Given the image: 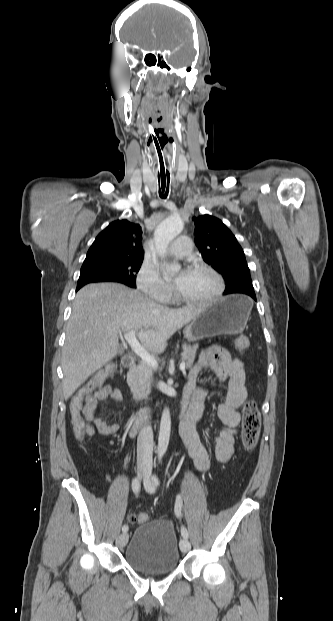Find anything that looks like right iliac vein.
I'll use <instances>...</instances> for the list:
<instances>
[{
	"instance_id": "63e3f726",
	"label": "right iliac vein",
	"mask_w": 333,
	"mask_h": 621,
	"mask_svg": "<svg viewBox=\"0 0 333 621\" xmlns=\"http://www.w3.org/2000/svg\"><path fill=\"white\" fill-rule=\"evenodd\" d=\"M147 473V469L143 465L138 466V476L140 478H144ZM129 535L127 532L120 534L116 539V544L118 547L122 548L126 545L128 541Z\"/></svg>"
}]
</instances>
